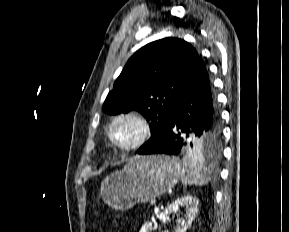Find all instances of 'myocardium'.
Masks as SVG:
<instances>
[{"instance_id":"f54148a6","label":"myocardium","mask_w":289,"mask_h":232,"mask_svg":"<svg viewBox=\"0 0 289 232\" xmlns=\"http://www.w3.org/2000/svg\"><path fill=\"white\" fill-rule=\"evenodd\" d=\"M132 120L139 127V134L137 138L128 144H120L113 136V128L115 124L122 120ZM153 133V126L151 120L143 113L136 110L124 111L116 114L108 126V138L110 142L118 149L129 151L143 146L151 137Z\"/></svg>"}]
</instances>
